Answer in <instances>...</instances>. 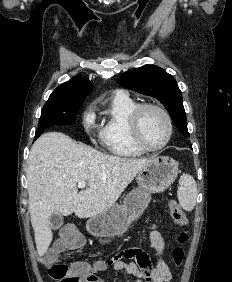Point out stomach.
<instances>
[{
  "mask_svg": "<svg viewBox=\"0 0 232 282\" xmlns=\"http://www.w3.org/2000/svg\"><path fill=\"white\" fill-rule=\"evenodd\" d=\"M178 172L177 162L168 156L151 159L137 174L138 188L126 195L123 204H113L91 217L86 223L87 231L97 238L122 235L143 214L151 200V194L161 193L169 188Z\"/></svg>",
  "mask_w": 232,
  "mask_h": 282,
  "instance_id": "0dacf381",
  "label": "stomach"
}]
</instances>
